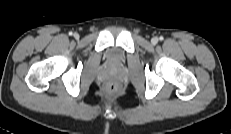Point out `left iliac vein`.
I'll list each match as a JSON object with an SVG mask.
<instances>
[{"instance_id": "obj_1", "label": "left iliac vein", "mask_w": 231, "mask_h": 134, "mask_svg": "<svg viewBox=\"0 0 231 134\" xmlns=\"http://www.w3.org/2000/svg\"><path fill=\"white\" fill-rule=\"evenodd\" d=\"M151 42H152L153 44H156V43L158 42V38H157V37H153V38L151 39Z\"/></svg>"}]
</instances>
